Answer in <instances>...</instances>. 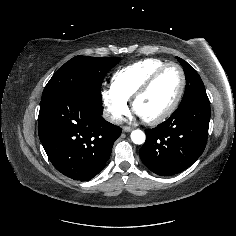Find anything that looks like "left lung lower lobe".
<instances>
[{
	"label": "left lung lower lobe",
	"mask_w": 236,
	"mask_h": 236,
	"mask_svg": "<svg viewBox=\"0 0 236 236\" xmlns=\"http://www.w3.org/2000/svg\"><path fill=\"white\" fill-rule=\"evenodd\" d=\"M209 121L207 96L179 106L165 122L145 130L146 141L139 150L142 162L161 176L182 172L203 153Z\"/></svg>",
	"instance_id": "0a47b994"
}]
</instances>
